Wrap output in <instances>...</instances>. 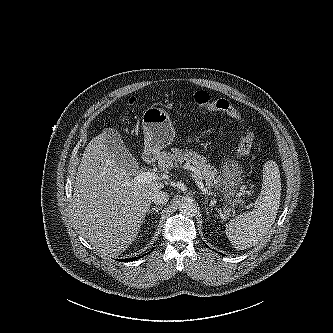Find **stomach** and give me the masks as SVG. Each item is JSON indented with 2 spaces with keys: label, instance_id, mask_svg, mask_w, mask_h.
Masks as SVG:
<instances>
[{
  "label": "stomach",
  "instance_id": "stomach-1",
  "mask_svg": "<svg viewBox=\"0 0 333 333\" xmlns=\"http://www.w3.org/2000/svg\"><path fill=\"white\" fill-rule=\"evenodd\" d=\"M144 154L158 155L160 150L170 145L175 131L169 114L160 108L150 107L143 112ZM242 170L234 160H228L221 171L218 184L222 186L221 196L228 204L238 203V193L242 192Z\"/></svg>",
  "mask_w": 333,
  "mask_h": 333
}]
</instances>
